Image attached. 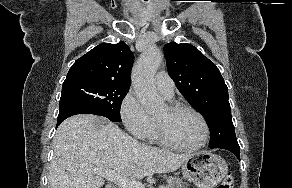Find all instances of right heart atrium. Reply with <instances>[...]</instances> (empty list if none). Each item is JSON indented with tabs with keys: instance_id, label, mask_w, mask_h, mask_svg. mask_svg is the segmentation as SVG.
<instances>
[{
	"instance_id": "1",
	"label": "right heart atrium",
	"mask_w": 292,
	"mask_h": 188,
	"mask_svg": "<svg viewBox=\"0 0 292 188\" xmlns=\"http://www.w3.org/2000/svg\"><path fill=\"white\" fill-rule=\"evenodd\" d=\"M120 117L129 133L137 139L147 138L154 126L153 119L132 91H129L121 102Z\"/></svg>"
}]
</instances>
